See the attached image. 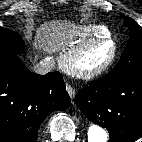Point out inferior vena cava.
Returning a JSON list of instances; mask_svg holds the SVG:
<instances>
[{
    "label": "inferior vena cava",
    "mask_w": 142,
    "mask_h": 142,
    "mask_svg": "<svg viewBox=\"0 0 142 142\" xmlns=\"http://www.w3.org/2000/svg\"><path fill=\"white\" fill-rule=\"evenodd\" d=\"M55 67V61L53 59L47 58L34 66V72L40 75H45L51 72Z\"/></svg>",
    "instance_id": "obj_1"
}]
</instances>
